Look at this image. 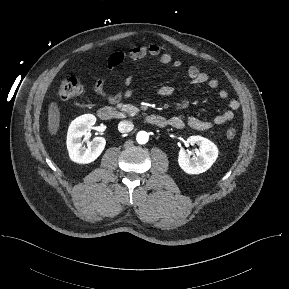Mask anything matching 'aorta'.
<instances>
[{"instance_id": "aorta-1", "label": "aorta", "mask_w": 289, "mask_h": 289, "mask_svg": "<svg viewBox=\"0 0 289 289\" xmlns=\"http://www.w3.org/2000/svg\"><path fill=\"white\" fill-rule=\"evenodd\" d=\"M149 135L145 131H140L137 133L136 140L139 144H146L148 142Z\"/></svg>"}]
</instances>
